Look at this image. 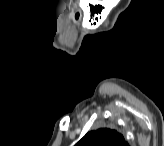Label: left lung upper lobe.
<instances>
[{
    "instance_id": "left-lung-upper-lobe-1",
    "label": "left lung upper lobe",
    "mask_w": 164,
    "mask_h": 146,
    "mask_svg": "<svg viewBox=\"0 0 164 146\" xmlns=\"http://www.w3.org/2000/svg\"><path fill=\"white\" fill-rule=\"evenodd\" d=\"M75 146H128L124 136L110 128L89 131Z\"/></svg>"
}]
</instances>
